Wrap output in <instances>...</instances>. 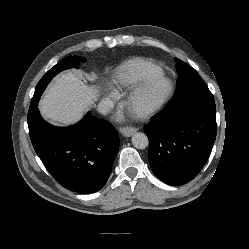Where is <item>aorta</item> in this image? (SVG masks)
Listing matches in <instances>:
<instances>
[{"mask_svg": "<svg viewBox=\"0 0 249 249\" xmlns=\"http://www.w3.org/2000/svg\"><path fill=\"white\" fill-rule=\"evenodd\" d=\"M131 141L133 146L137 149H145L149 144L147 135L141 132L133 134Z\"/></svg>", "mask_w": 249, "mask_h": 249, "instance_id": "aorta-1", "label": "aorta"}]
</instances>
